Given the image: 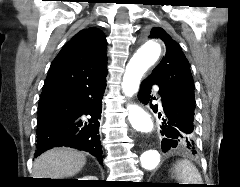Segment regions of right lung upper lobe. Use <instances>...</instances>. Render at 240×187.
Instances as JSON below:
<instances>
[{"label": "right lung upper lobe", "instance_id": "1", "mask_svg": "<svg viewBox=\"0 0 240 187\" xmlns=\"http://www.w3.org/2000/svg\"><path fill=\"white\" fill-rule=\"evenodd\" d=\"M106 62L104 33L96 28L81 30L51 63L41 97L106 76Z\"/></svg>", "mask_w": 240, "mask_h": 187}]
</instances>
